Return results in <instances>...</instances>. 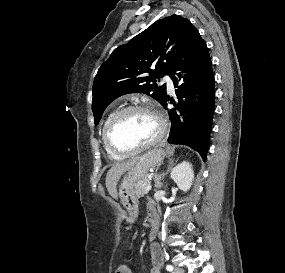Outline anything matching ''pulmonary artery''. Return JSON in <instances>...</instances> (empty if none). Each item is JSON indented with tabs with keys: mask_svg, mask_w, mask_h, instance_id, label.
I'll return each instance as SVG.
<instances>
[{
	"mask_svg": "<svg viewBox=\"0 0 285 273\" xmlns=\"http://www.w3.org/2000/svg\"><path fill=\"white\" fill-rule=\"evenodd\" d=\"M163 80L167 83L168 89L173 92L174 91V85L171 77L169 75H165L163 77Z\"/></svg>",
	"mask_w": 285,
	"mask_h": 273,
	"instance_id": "e3ab8cb5",
	"label": "pulmonary artery"
}]
</instances>
